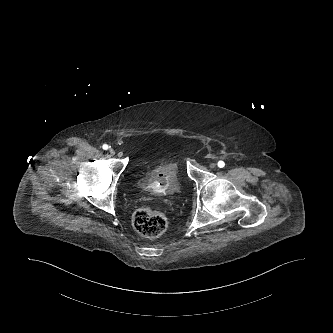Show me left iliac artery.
Here are the masks:
<instances>
[{
    "label": "left iliac artery",
    "mask_w": 333,
    "mask_h": 333,
    "mask_svg": "<svg viewBox=\"0 0 333 333\" xmlns=\"http://www.w3.org/2000/svg\"><path fill=\"white\" fill-rule=\"evenodd\" d=\"M224 166H225L224 161H219V162H218V167H219V168H223Z\"/></svg>",
    "instance_id": "1"
}]
</instances>
